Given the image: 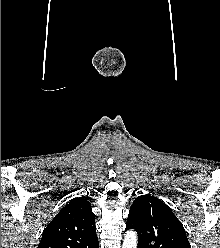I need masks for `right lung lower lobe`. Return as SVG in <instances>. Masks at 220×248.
Returning <instances> with one entry per match:
<instances>
[{
	"label": "right lung lower lobe",
	"mask_w": 220,
	"mask_h": 248,
	"mask_svg": "<svg viewBox=\"0 0 220 248\" xmlns=\"http://www.w3.org/2000/svg\"><path fill=\"white\" fill-rule=\"evenodd\" d=\"M92 248H99L98 243L92 246Z\"/></svg>",
	"instance_id": "right-lung-lower-lobe-1"
}]
</instances>
